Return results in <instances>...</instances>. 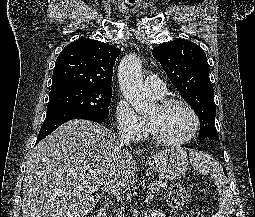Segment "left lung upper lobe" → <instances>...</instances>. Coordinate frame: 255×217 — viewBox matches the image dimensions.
<instances>
[{"label": "left lung upper lobe", "mask_w": 255, "mask_h": 217, "mask_svg": "<svg viewBox=\"0 0 255 217\" xmlns=\"http://www.w3.org/2000/svg\"><path fill=\"white\" fill-rule=\"evenodd\" d=\"M152 54L180 95L196 112L201 124L200 140L219 141L214 122V90L203 49L191 41L179 38L159 45Z\"/></svg>", "instance_id": "5c2ea615"}]
</instances>
